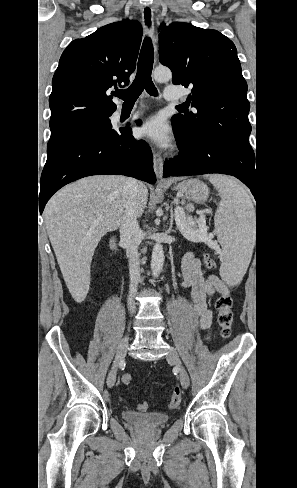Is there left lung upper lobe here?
I'll use <instances>...</instances> for the list:
<instances>
[{
  "mask_svg": "<svg viewBox=\"0 0 297 488\" xmlns=\"http://www.w3.org/2000/svg\"><path fill=\"white\" fill-rule=\"evenodd\" d=\"M160 62L173 73L172 82L192 87L188 98L197 112L172 117L184 140L218 138L251 147L250 104L234 43L216 30L175 22L160 27Z\"/></svg>",
  "mask_w": 297,
  "mask_h": 488,
  "instance_id": "1",
  "label": "left lung upper lobe"
}]
</instances>
